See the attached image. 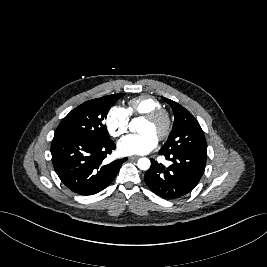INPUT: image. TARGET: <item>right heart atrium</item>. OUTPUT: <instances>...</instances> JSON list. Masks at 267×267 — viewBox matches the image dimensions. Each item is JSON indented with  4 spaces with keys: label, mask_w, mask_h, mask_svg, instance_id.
Here are the masks:
<instances>
[{
    "label": "right heart atrium",
    "mask_w": 267,
    "mask_h": 267,
    "mask_svg": "<svg viewBox=\"0 0 267 267\" xmlns=\"http://www.w3.org/2000/svg\"><path fill=\"white\" fill-rule=\"evenodd\" d=\"M130 117L127 110L120 106H112L105 117V125L109 134L120 137L128 130Z\"/></svg>",
    "instance_id": "right-heart-atrium-1"
}]
</instances>
